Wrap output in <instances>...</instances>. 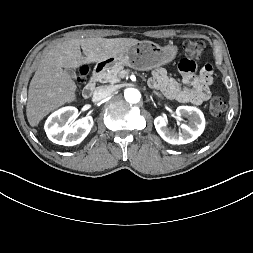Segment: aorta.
<instances>
[{"instance_id": "obj_1", "label": "aorta", "mask_w": 253, "mask_h": 253, "mask_svg": "<svg viewBox=\"0 0 253 253\" xmlns=\"http://www.w3.org/2000/svg\"><path fill=\"white\" fill-rule=\"evenodd\" d=\"M124 97L129 103H138L141 98V93L135 88H127L124 91Z\"/></svg>"}]
</instances>
